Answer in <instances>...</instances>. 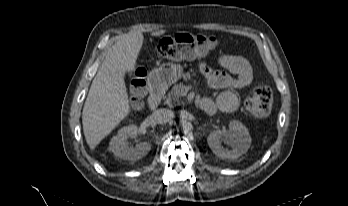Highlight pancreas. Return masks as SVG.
I'll use <instances>...</instances> for the list:
<instances>
[{
    "mask_svg": "<svg viewBox=\"0 0 348 206\" xmlns=\"http://www.w3.org/2000/svg\"><path fill=\"white\" fill-rule=\"evenodd\" d=\"M183 83L175 84L171 91H169L168 96L166 97L165 104L169 106L179 105L180 97L183 95L184 91Z\"/></svg>",
    "mask_w": 348,
    "mask_h": 206,
    "instance_id": "obj_1",
    "label": "pancreas"
}]
</instances>
